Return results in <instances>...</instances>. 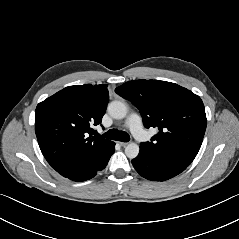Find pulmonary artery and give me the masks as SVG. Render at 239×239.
<instances>
[{
    "label": "pulmonary artery",
    "instance_id": "obj_1",
    "mask_svg": "<svg viewBox=\"0 0 239 239\" xmlns=\"http://www.w3.org/2000/svg\"><path fill=\"white\" fill-rule=\"evenodd\" d=\"M125 125L131 130L133 135L138 139V140H145L146 138V132L143 128L142 125V120L139 115L137 114H132L128 117L126 120Z\"/></svg>",
    "mask_w": 239,
    "mask_h": 239
}]
</instances>
